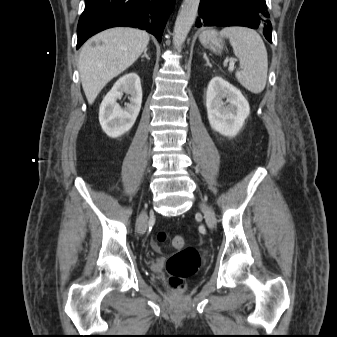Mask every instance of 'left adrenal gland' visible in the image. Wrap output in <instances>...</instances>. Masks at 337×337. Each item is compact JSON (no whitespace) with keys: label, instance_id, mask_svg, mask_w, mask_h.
Returning a JSON list of instances; mask_svg holds the SVG:
<instances>
[{"label":"left adrenal gland","instance_id":"obj_1","mask_svg":"<svg viewBox=\"0 0 337 337\" xmlns=\"http://www.w3.org/2000/svg\"><path fill=\"white\" fill-rule=\"evenodd\" d=\"M203 57H204V59H205V61H206L207 65H209V60H208V58H207V56H206V54H205V53L203 54Z\"/></svg>","mask_w":337,"mask_h":337}]
</instances>
